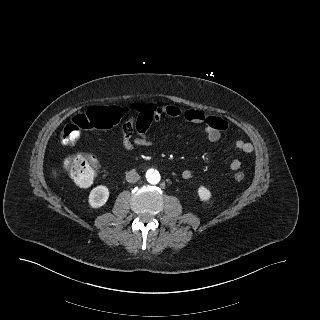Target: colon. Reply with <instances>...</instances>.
Listing matches in <instances>:
<instances>
[{
    "label": "colon",
    "instance_id": "1",
    "mask_svg": "<svg viewBox=\"0 0 320 320\" xmlns=\"http://www.w3.org/2000/svg\"><path fill=\"white\" fill-rule=\"evenodd\" d=\"M124 115V110L117 106H92L84 113L73 118L60 132L63 143L70 144L77 141L81 131L93 129H108L117 125ZM148 120L138 117L135 121L137 128L148 125ZM64 167L70 177L80 186H89L97 172V160L90 154L76 153L66 157ZM235 179H244L243 172H237Z\"/></svg>",
    "mask_w": 320,
    "mask_h": 320
}]
</instances>
